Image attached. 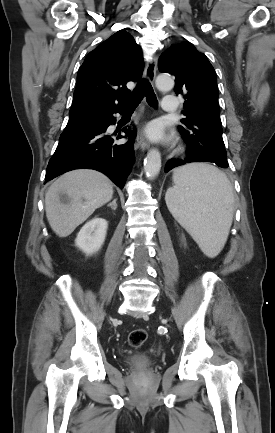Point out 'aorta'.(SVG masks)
Instances as JSON below:
<instances>
[{
    "label": "aorta",
    "mask_w": 275,
    "mask_h": 433,
    "mask_svg": "<svg viewBox=\"0 0 275 433\" xmlns=\"http://www.w3.org/2000/svg\"><path fill=\"white\" fill-rule=\"evenodd\" d=\"M156 86L161 90H170L174 86V80L171 75L160 74L156 78ZM161 169V155L157 149H151L144 161V171L150 179L155 178Z\"/></svg>",
    "instance_id": "762f6f07"
}]
</instances>
